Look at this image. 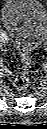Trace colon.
Segmentation results:
<instances>
[{
    "label": "colon",
    "mask_w": 47,
    "mask_h": 129,
    "mask_svg": "<svg viewBox=\"0 0 47 129\" xmlns=\"http://www.w3.org/2000/svg\"><path fill=\"white\" fill-rule=\"evenodd\" d=\"M21 61L23 64L22 72L15 78L14 86L18 90H25L29 86V69L31 65V59L25 52L21 53Z\"/></svg>",
    "instance_id": "obj_1"
}]
</instances>
